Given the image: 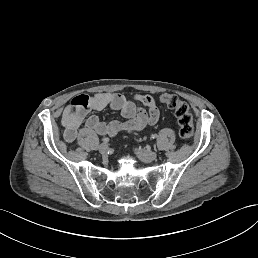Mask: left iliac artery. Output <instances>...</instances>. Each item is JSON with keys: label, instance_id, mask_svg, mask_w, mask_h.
I'll return each mask as SVG.
<instances>
[{"label": "left iliac artery", "instance_id": "obj_1", "mask_svg": "<svg viewBox=\"0 0 258 258\" xmlns=\"http://www.w3.org/2000/svg\"><path fill=\"white\" fill-rule=\"evenodd\" d=\"M151 138H152V139H155V138H157V135H156V134H152V135H151Z\"/></svg>", "mask_w": 258, "mask_h": 258}]
</instances>
